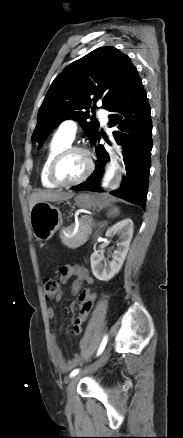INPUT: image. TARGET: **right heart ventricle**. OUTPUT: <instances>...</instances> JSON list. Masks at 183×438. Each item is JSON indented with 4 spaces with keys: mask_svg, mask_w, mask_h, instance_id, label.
<instances>
[{
    "mask_svg": "<svg viewBox=\"0 0 183 438\" xmlns=\"http://www.w3.org/2000/svg\"><path fill=\"white\" fill-rule=\"evenodd\" d=\"M72 140L61 134L60 132H57L53 138L51 139L50 143L48 144V147L46 149V152L44 154V158L42 161L41 169H40V179L41 183L44 188H54L56 187L53 185L47 176L49 165L53 159V157L63 148L69 146L71 144Z\"/></svg>",
    "mask_w": 183,
    "mask_h": 438,
    "instance_id": "obj_1",
    "label": "right heart ventricle"
}]
</instances>
